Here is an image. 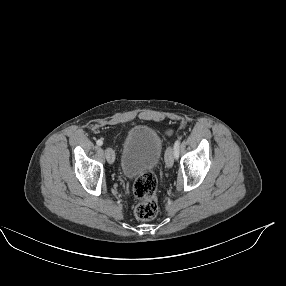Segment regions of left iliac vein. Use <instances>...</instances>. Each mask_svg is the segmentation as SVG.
<instances>
[{"label": "left iliac vein", "mask_w": 286, "mask_h": 286, "mask_svg": "<svg viewBox=\"0 0 286 286\" xmlns=\"http://www.w3.org/2000/svg\"><path fill=\"white\" fill-rule=\"evenodd\" d=\"M174 150L172 147H168L165 153V163L168 167H172L174 164Z\"/></svg>", "instance_id": "left-iliac-vein-1"}]
</instances>
